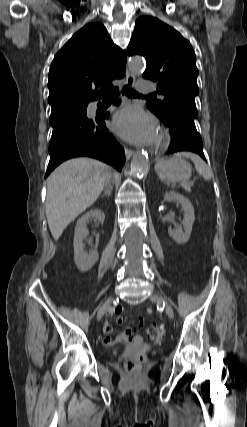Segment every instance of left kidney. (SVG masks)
I'll return each instance as SVG.
<instances>
[{"label":"left kidney","mask_w":247,"mask_h":427,"mask_svg":"<svg viewBox=\"0 0 247 427\" xmlns=\"http://www.w3.org/2000/svg\"><path fill=\"white\" fill-rule=\"evenodd\" d=\"M164 201L171 202L175 201L181 204V209L184 212L183 215V229L178 227L176 229L169 228V236L178 244L186 243L191 235L192 226L195 221L194 208L190 200L183 195H180L174 191L167 192L164 196Z\"/></svg>","instance_id":"obj_1"}]
</instances>
